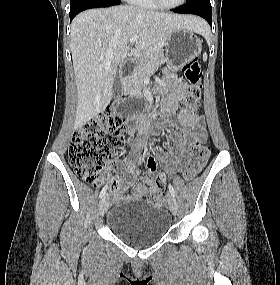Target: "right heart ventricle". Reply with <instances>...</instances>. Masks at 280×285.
<instances>
[{"label":"right heart ventricle","instance_id":"e07e8e85","mask_svg":"<svg viewBox=\"0 0 280 285\" xmlns=\"http://www.w3.org/2000/svg\"><path fill=\"white\" fill-rule=\"evenodd\" d=\"M133 3L135 6L145 9H156V5L152 0H128Z\"/></svg>","mask_w":280,"mask_h":285}]
</instances>
